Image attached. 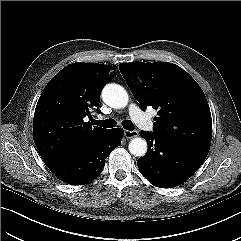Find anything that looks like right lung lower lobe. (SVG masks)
I'll list each match as a JSON object with an SVG mask.
<instances>
[{
  "label": "right lung lower lobe",
  "mask_w": 241,
  "mask_h": 241,
  "mask_svg": "<svg viewBox=\"0 0 241 241\" xmlns=\"http://www.w3.org/2000/svg\"><path fill=\"white\" fill-rule=\"evenodd\" d=\"M122 137L123 129H110L84 149L45 163L57 178L66 183L71 185L90 183L102 172L105 158L121 143Z\"/></svg>",
  "instance_id": "obj_1"
}]
</instances>
